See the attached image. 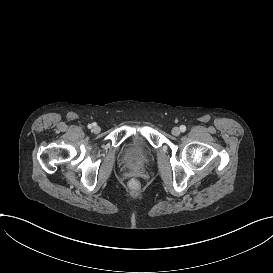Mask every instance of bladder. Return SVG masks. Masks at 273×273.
Instances as JSON below:
<instances>
[{
    "instance_id": "obj_1",
    "label": "bladder",
    "mask_w": 273,
    "mask_h": 273,
    "mask_svg": "<svg viewBox=\"0 0 273 273\" xmlns=\"http://www.w3.org/2000/svg\"><path fill=\"white\" fill-rule=\"evenodd\" d=\"M119 157L129 168L142 169L154 159V150L143 138L124 141L119 147Z\"/></svg>"
}]
</instances>
